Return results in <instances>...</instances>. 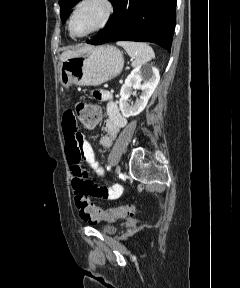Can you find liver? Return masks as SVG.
<instances>
[{
    "label": "liver",
    "mask_w": 240,
    "mask_h": 288,
    "mask_svg": "<svg viewBox=\"0 0 240 288\" xmlns=\"http://www.w3.org/2000/svg\"><path fill=\"white\" fill-rule=\"evenodd\" d=\"M87 47H88V46L80 47V48H78V49H76V50H67V51H65V52L62 53V55H61V60L63 61V60H65V59L69 58V57L75 56V55L79 54L80 52H82V51H83L84 49H86Z\"/></svg>",
    "instance_id": "1"
}]
</instances>
